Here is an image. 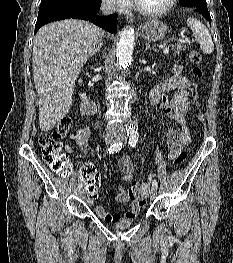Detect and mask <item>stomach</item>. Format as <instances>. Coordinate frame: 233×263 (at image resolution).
Segmentation results:
<instances>
[{"label":"stomach","mask_w":233,"mask_h":263,"mask_svg":"<svg viewBox=\"0 0 233 263\" xmlns=\"http://www.w3.org/2000/svg\"><path fill=\"white\" fill-rule=\"evenodd\" d=\"M167 34V27L159 20L146 22L142 29L141 35L147 41H159Z\"/></svg>","instance_id":"stomach-1"}]
</instances>
